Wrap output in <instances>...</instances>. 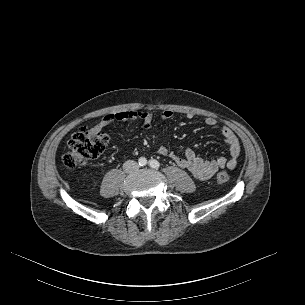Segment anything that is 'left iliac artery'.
<instances>
[{"mask_svg":"<svg viewBox=\"0 0 305 305\" xmlns=\"http://www.w3.org/2000/svg\"><path fill=\"white\" fill-rule=\"evenodd\" d=\"M149 165H150V167H152L154 169H158L160 167V163L154 159L149 161Z\"/></svg>","mask_w":305,"mask_h":305,"instance_id":"obj_1","label":"left iliac artery"}]
</instances>
